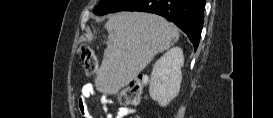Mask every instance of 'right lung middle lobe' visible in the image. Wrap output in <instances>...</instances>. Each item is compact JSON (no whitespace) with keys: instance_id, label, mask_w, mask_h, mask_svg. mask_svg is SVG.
<instances>
[{"instance_id":"right-lung-middle-lobe-1","label":"right lung middle lobe","mask_w":273,"mask_h":118,"mask_svg":"<svg viewBox=\"0 0 273 118\" xmlns=\"http://www.w3.org/2000/svg\"><path fill=\"white\" fill-rule=\"evenodd\" d=\"M125 0H100L98 6L95 7L94 13L96 15H105L113 12Z\"/></svg>"}]
</instances>
